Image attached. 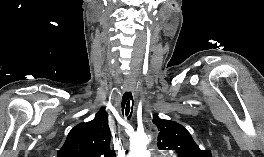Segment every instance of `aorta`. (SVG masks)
<instances>
[{
  "label": "aorta",
  "mask_w": 264,
  "mask_h": 157,
  "mask_svg": "<svg viewBox=\"0 0 264 157\" xmlns=\"http://www.w3.org/2000/svg\"><path fill=\"white\" fill-rule=\"evenodd\" d=\"M148 143L149 139L145 134H135L131 139V157H149Z\"/></svg>",
  "instance_id": "762f6f07"
}]
</instances>
